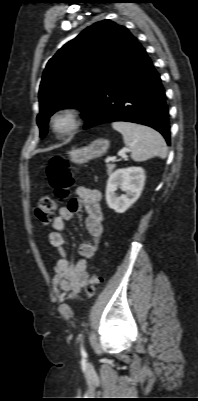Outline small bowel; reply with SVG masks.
<instances>
[{
    "instance_id": "small-bowel-1",
    "label": "small bowel",
    "mask_w": 198,
    "mask_h": 401,
    "mask_svg": "<svg viewBox=\"0 0 198 401\" xmlns=\"http://www.w3.org/2000/svg\"><path fill=\"white\" fill-rule=\"evenodd\" d=\"M76 194V198L59 209V214L52 221L53 230L49 234V242L57 253L52 283L60 296L67 293L77 294L87 284L88 260L94 257L98 240L104 231L100 191L79 186ZM82 210L86 212L85 227L93 241L82 243L78 249L80 259L73 261L68 256L64 231L66 223Z\"/></svg>"
}]
</instances>
